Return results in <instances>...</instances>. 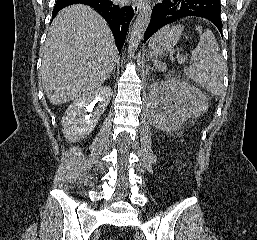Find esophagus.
I'll list each match as a JSON object with an SVG mask.
<instances>
[{
	"label": "esophagus",
	"mask_w": 257,
	"mask_h": 240,
	"mask_svg": "<svg viewBox=\"0 0 257 240\" xmlns=\"http://www.w3.org/2000/svg\"><path fill=\"white\" fill-rule=\"evenodd\" d=\"M142 8V2H140V0H134L133 2V10L135 12V14H138L139 11Z\"/></svg>",
	"instance_id": "obj_1"
}]
</instances>
